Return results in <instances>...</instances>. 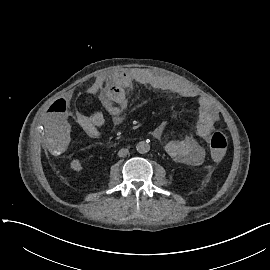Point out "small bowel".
Wrapping results in <instances>:
<instances>
[{"instance_id": "small-bowel-1", "label": "small bowel", "mask_w": 270, "mask_h": 270, "mask_svg": "<svg viewBox=\"0 0 270 270\" xmlns=\"http://www.w3.org/2000/svg\"><path fill=\"white\" fill-rule=\"evenodd\" d=\"M138 83L156 90L169 91L182 97L193 99L197 97L195 90L180 81L158 71L147 68H130L98 77L89 88V92L99 95L103 106L111 117L112 124L123 123L124 113L128 106V90ZM73 100L66 94H56L45 106V115L49 119L47 131L50 143L55 148H64L69 143L67 123L62 118L73 109ZM199 119L196 135L205 138L212 132L217 115L206 98H199ZM76 121L85 134L98 138L103 135L106 120L98 110L89 114H77ZM166 130L164 123L158 125L152 132L154 138L162 139ZM165 149L173 158L191 166H199L204 162L205 152L193 135L181 139H173L166 143ZM217 160V159H215Z\"/></svg>"}]
</instances>
